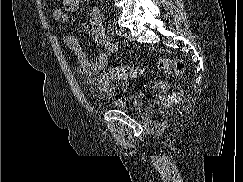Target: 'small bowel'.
<instances>
[{
    "mask_svg": "<svg viewBox=\"0 0 243 182\" xmlns=\"http://www.w3.org/2000/svg\"><path fill=\"white\" fill-rule=\"evenodd\" d=\"M79 5L80 0H62V6L53 11V18L62 25H68L69 13L76 11ZM89 23L91 35L98 47L97 56L93 61L89 59L76 36L66 34L63 39L67 47L75 54L80 73L86 77L87 82L97 87L100 92H107L110 89L109 80L102 70L105 68L109 56L116 51V45L105 31L98 8L91 10Z\"/></svg>",
    "mask_w": 243,
    "mask_h": 182,
    "instance_id": "obj_1",
    "label": "small bowel"
}]
</instances>
